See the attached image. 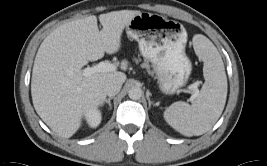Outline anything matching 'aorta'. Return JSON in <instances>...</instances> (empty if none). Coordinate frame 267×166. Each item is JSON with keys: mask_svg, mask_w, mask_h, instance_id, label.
Listing matches in <instances>:
<instances>
[{"mask_svg": "<svg viewBox=\"0 0 267 166\" xmlns=\"http://www.w3.org/2000/svg\"><path fill=\"white\" fill-rule=\"evenodd\" d=\"M128 96L130 99L132 100H138L141 98L142 96V90L139 87H132L129 91H128Z\"/></svg>", "mask_w": 267, "mask_h": 166, "instance_id": "aorta-1", "label": "aorta"}]
</instances>
